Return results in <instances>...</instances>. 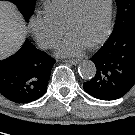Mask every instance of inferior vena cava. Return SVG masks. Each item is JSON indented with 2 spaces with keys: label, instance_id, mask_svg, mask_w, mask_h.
<instances>
[{
  "label": "inferior vena cava",
  "instance_id": "1",
  "mask_svg": "<svg viewBox=\"0 0 135 135\" xmlns=\"http://www.w3.org/2000/svg\"><path fill=\"white\" fill-rule=\"evenodd\" d=\"M54 44H55V40H54V39H47V40H45L44 42H42V43L40 44V46H41L42 48H48V47L54 46Z\"/></svg>",
  "mask_w": 135,
  "mask_h": 135
}]
</instances>
